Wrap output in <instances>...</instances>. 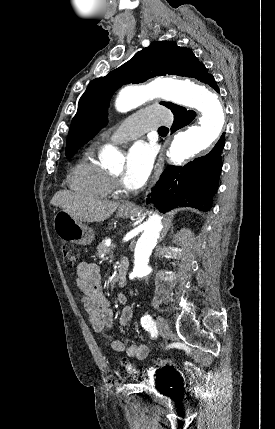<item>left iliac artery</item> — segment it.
<instances>
[{"mask_svg":"<svg viewBox=\"0 0 275 429\" xmlns=\"http://www.w3.org/2000/svg\"><path fill=\"white\" fill-rule=\"evenodd\" d=\"M141 324H142V327L144 328H149L150 326L154 325L152 317L150 315L143 316L141 318Z\"/></svg>","mask_w":275,"mask_h":429,"instance_id":"44dca946","label":"left iliac artery"}]
</instances>
